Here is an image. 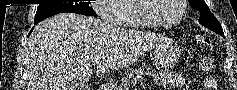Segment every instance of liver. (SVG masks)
I'll return each instance as SVG.
<instances>
[{"mask_svg":"<svg viewBox=\"0 0 237 90\" xmlns=\"http://www.w3.org/2000/svg\"><path fill=\"white\" fill-rule=\"evenodd\" d=\"M159 42L161 36L119 28V22L57 14L37 24L26 42L27 90H82L92 78L93 62L98 74H109Z\"/></svg>","mask_w":237,"mask_h":90,"instance_id":"6515ba94","label":"liver"}]
</instances>
